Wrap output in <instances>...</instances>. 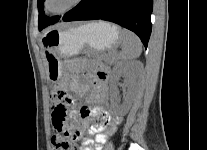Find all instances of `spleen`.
<instances>
[{
  "instance_id": "obj_1",
  "label": "spleen",
  "mask_w": 207,
  "mask_h": 150,
  "mask_svg": "<svg viewBox=\"0 0 207 150\" xmlns=\"http://www.w3.org/2000/svg\"><path fill=\"white\" fill-rule=\"evenodd\" d=\"M120 34L121 51L119 58L124 61L138 58L142 52V44L138 36L126 29L121 30Z\"/></svg>"
}]
</instances>
